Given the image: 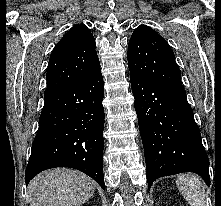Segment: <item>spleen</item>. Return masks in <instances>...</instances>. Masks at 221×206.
<instances>
[{"mask_svg": "<svg viewBox=\"0 0 221 206\" xmlns=\"http://www.w3.org/2000/svg\"><path fill=\"white\" fill-rule=\"evenodd\" d=\"M176 185L191 206L205 205V190L202 181L191 174L179 175Z\"/></svg>", "mask_w": 221, "mask_h": 206, "instance_id": "spleen-1", "label": "spleen"}]
</instances>
